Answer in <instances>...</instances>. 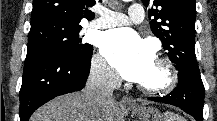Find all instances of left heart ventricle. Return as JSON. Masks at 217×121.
Returning a JSON list of instances; mask_svg holds the SVG:
<instances>
[{
	"mask_svg": "<svg viewBox=\"0 0 217 121\" xmlns=\"http://www.w3.org/2000/svg\"><path fill=\"white\" fill-rule=\"evenodd\" d=\"M162 70L154 62L153 66L148 72V75L141 81L144 84H155L162 79Z\"/></svg>",
	"mask_w": 217,
	"mask_h": 121,
	"instance_id": "1",
	"label": "left heart ventricle"
}]
</instances>
